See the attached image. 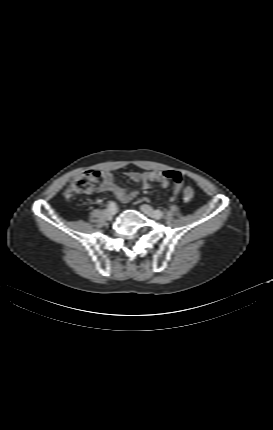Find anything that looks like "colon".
Returning a JSON list of instances; mask_svg holds the SVG:
<instances>
[{
  "instance_id": "5ec220e1",
  "label": "colon",
  "mask_w": 273,
  "mask_h": 430,
  "mask_svg": "<svg viewBox=\"0 0 273 430\" xmlns=\"http://www.w3.org/2000/svg\"><path fill=\"white\" fill-rule=\"evenodd\" d=\"M101 175L97 171L86 170L74 177L68 186L65 196L67 198H71L74 195L89 193L93 190L95 185L98 183ZM195 196V190L188 186L184 190V198L186 200H190Z\"/></svg>"
}]
</instances>
